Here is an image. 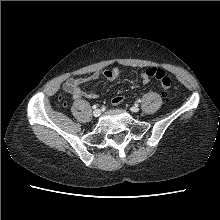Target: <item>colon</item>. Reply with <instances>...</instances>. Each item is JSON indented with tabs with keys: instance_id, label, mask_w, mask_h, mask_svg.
I'll return each mask as SVG.
<instances>
[{
	"instance_id": "obj_1",
	"label": "colon",
	"mask_w": 220,
	"mask_h": 220,
	"mask_svg": "<svg viewBox=\"0 0 220 220\" xmlns=\"http://www.w3.org/2000/svg\"><path fill=\"white\" fill-rule=\"evenodd\" d=\"M145 74L148 78H155L160 83L161 87L164 90L166 97L169 96V89L172 85V80L165 72L159 68L151 67L146 69Z\"/></svg>"
}]
</instances>
